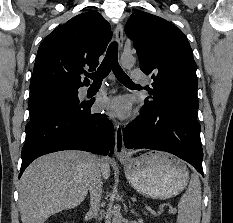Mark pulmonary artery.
Returning <instances> with one entry per match:
<instances>
[{
	"label": "pulmonary artery",
	"instance_id": "1",
	"mask_svg": "<svg viewBox=\"0 0 233 223\" xmlns=\"http://www.w3.org/2000/svg\"><path fill=\"white\" fill-rule=\"evenodd\" d=\"M130 79H147V74H144V70H131L129 75Z\"/></svg>",
	"mask_w": 233,
	"mask_h": 223
}]
</instances>
